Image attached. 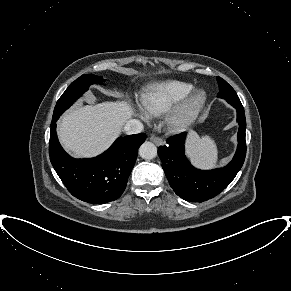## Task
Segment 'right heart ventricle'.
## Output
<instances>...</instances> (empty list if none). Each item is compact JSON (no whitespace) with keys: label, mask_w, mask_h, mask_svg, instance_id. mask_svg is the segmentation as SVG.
Segmentation results:
<instances>
[{"label":"right heart ventricle","mask_w":291,"mask_h":291,"mask_svg":"<svg viewBox=\"0 0 291 291\" xmlns=\"http://www.w3.org/2000/svg\"><path fill=\"white\" fill-rule=\"evenodd\" d=\"M193 89L191 83L178 80L156 83L142 95L141 107L148 116H161L170 111Z\"/></svg>","instance_id":"1"}]
</instances>
